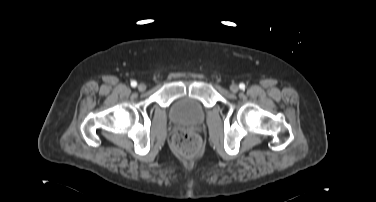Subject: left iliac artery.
Masks as SVG:
<instances>
[{"mask_svg": "<svg viewBox=\"0 0 376 202\" xmlns=\"http://www.w3.org/2000/svg\"><path fill=\"white\" fill-rule=\"evenodd\" d=\"M239 88H240L241 90H244V89H245V84H244V83H240V84H239Z\"/></svg>", "mask_w": 376, "mask_h": 202, "instance_id": "44dca946", "label": "left iliac artery"}]
</instances>
